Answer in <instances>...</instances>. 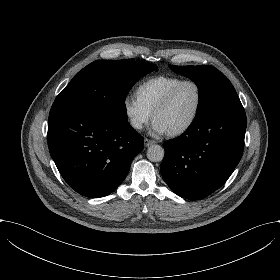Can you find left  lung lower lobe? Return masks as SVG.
Here are the masks:
<instances>
[{"mask_svg": "<svg viewBox=\"0 0 280 280\" xmlns=\"http://www.w3.org/2000/svg\"><path fill=\"white\" fill-rule=\"evenodd\" d=\"M245 131L241 102L196 116L181 136L164 143L163 180L183 198L207 197L226 182L239 163Z\"/></svg>", "mask_w": 280, "mask_h": 280, "instance_id": "left-lung-lower-lobe-1", "label": "left lung lower lobe"}]
</instances>
